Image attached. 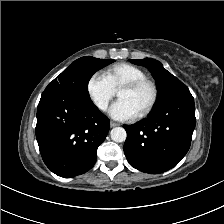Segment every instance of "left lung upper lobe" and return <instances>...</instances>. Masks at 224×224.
<instances>
[{"instance_id": "left-lung-upper-lobe-1", "label": "left lung upper lobe", "mask_w": 224, "mask_h": 224, "mask_svg": "<svg viewBox=\"0 0 224 224\" xmlns=\"http://www.w3.org/2000/svg\"><path fill=\"white\" fill-rule=\"evenodd\" d=\"M130 62L147 67L156 80L158 87V100L154 110L161 108L166 103L180 96L191 94L187 86L168 72L159 61L145 58L142 60L130 59Z\"/></svg>"}]
</instances>
